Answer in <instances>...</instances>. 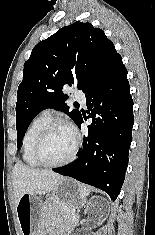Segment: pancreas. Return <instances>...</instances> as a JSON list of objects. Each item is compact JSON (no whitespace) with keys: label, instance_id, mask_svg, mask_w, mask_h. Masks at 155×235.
Segmentation results:
<instances>
[{"label":"pancreas","instance_id":"pancreas-1","mask_svg":"<svg viewBox=\"0 0 155 235\" xmlns=\"http://www.w3.org/2000/svg\"><path fill=\"white\" fill-rule=\"evenodd\" d=\"M59 214L67 221L72 222L75 218V215L65 207L58 208Z\"/></svg>","mask_w":155,"mask_h":235}]
</instances>
